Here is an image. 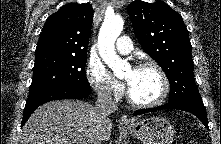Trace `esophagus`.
Returning <instances> with one entry per match:
<instances>
[{"label":"esophagus","mask_w":221,"mask_h":144,"mask_svg":"<svg viewBox=\"0 0 221 144\" xmlns=\"http://www.w3.org/2000/svg\"><path fill=\"white\" fill-rule=\"evenodd\" d=\"M120 123L124 124V125H127V124L131 123V120L127 115H122L121 118H120Z\"/></svg>","instance_id":"obj_1"}]
</instances>
